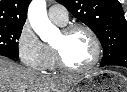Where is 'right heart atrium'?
<instances>
[{
    "label": "right heart atrium",
    "instance_id": "1",
    "mask_svg": "<svg viewBox=\"0 0 127 92\" xmlns=\"http://www.w3.org/2000/svg\"><path fill=\"white\" fill-rule=\"evenodd\" d=\"M16 45L19 59L26 68L37 71L45 69L48 61L47 47L28 23L22 26Z\"/></svg>",
    "mask_w": 127,
    "mask_h": 92
}]
</instances>
